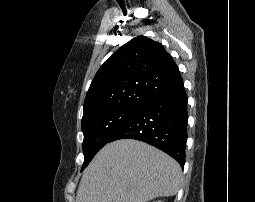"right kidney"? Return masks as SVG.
I'll list each match as a JSON object with an SVG mask.
<instances>
[{"label":"right kidney","mask_w":255,"mask_h":202,"mask_svg":"<svg viewBox=\"0 0 255 202\" xmlns=\"http://www.w3.org/2000/svg\"><path fill=\"white\" fill-rule=\"evenodd\" d=\"M154 202H163V201H154Z\"/></svg>","instance_id":"obj_1"}]
</instances>
